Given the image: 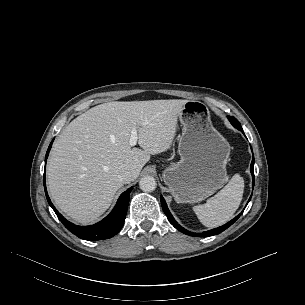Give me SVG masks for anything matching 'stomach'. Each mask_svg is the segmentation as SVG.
I'll list each match as a JSON object with an SVG mask.
<instances>
[{"label": "stomach", "mask_w": 305, "mask_h": 305, "mask_svg": "<svg viewBox=\"0 0 305 305\" xmlns=\"http://www.w3.org/2000/svg\"><path fill=\"white\" fill-rule=\"evenodd\" d=\"M178 118L181 159L164 170L163 180L177 203H197L225 183L230 145L213 127L204 103L187 101Z\"/></svg>", "instance_id": "stomach-1"}]
</instances>
